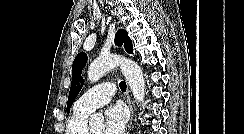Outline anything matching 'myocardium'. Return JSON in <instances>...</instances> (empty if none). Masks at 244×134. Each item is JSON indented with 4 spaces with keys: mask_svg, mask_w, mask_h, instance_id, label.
I'll return each mask as SVG.
<instances>
[{
    "mask_svg": "<svg viewBox=\"0 0 244 134\" xmlns=\"http://www.w3.org/2000/svg\"><path fill=\"white\" fill-rule=\"evenodd\" d=\"M87 134H92L91 129H88Z\"/></svg>",
    "mask_w": 244,
    "mask_h": 134,
    "instance_id": "obj_1",
    "label": "myocardium"
}]
</instances>
